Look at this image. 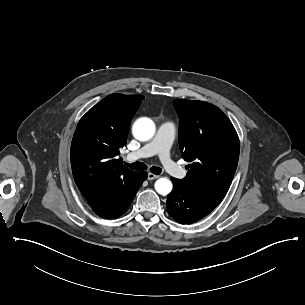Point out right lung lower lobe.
<instances>
[{
  "instance_id": "right-lung-lower-lobe-1",
  "label": "right lung lower lobe",
  "mask_w": 305,
  "mask_h": 305,
  "mask_svg": "<svg viewBox=\"0 0 305 305\" xmlns=\"http://www.w3.org/2000/svg\"><path fill=\"white\" fill-rule=\"evenodd\" d=\"M146 172H137L127 185L116 189L108 198L92 205V210L105 219L117 218L127 211L140 185L146 180Z\"/></svg>"
}]
</instances>
